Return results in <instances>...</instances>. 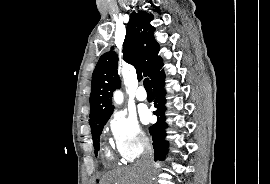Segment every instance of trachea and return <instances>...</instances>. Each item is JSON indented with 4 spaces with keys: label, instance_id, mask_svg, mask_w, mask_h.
<instances>
[{
    "label": "trachea",
    "instance_id": "1",
    "mask_svg": "<svg viewBox=\"0 0 270 184\" xmlns=\"http://www.w3.org/2000/svg\"><path fill=\"white\" fill-rule=\"evenodd\" d=\"M143 84H144V88L146 89V91H152V87H151L149 78L144 79Z\"/></svg>",
    "mask_w": 270,
    "mask_h": 184
}]
</instances>
